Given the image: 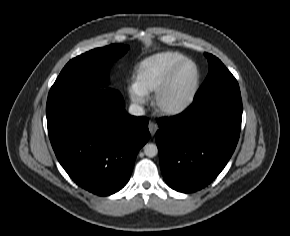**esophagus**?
Wrapping results in <instances>:
<instances>
[{"label":"esophagus","instance_id":"1","mask_svg":"<svg viewBox=\"0 0 290 236\" xmlns=\"http://www.w3.org/2000/svg\"><path fill=\"white\" fill-rule=\"evenodd\" d=\"M148 128H149L150 134L153 136L156 133V131L158 130V125L156 123L150 121L148 124Z\"/></svg>","mask_w":290,"mask_h":236}]
</instances>
